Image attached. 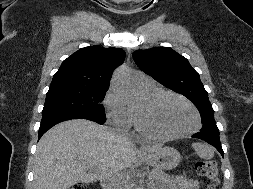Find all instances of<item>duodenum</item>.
Returning <instances> with one entry per match:
<instances>
[{
    "label": "duodenum",
    "mask_w": 253,
    "mask_h": 189,
    "mask_svg": "<svg viewBox=\"0 0 253 189\" xmlns=\"http://www.w3.org/2000/svg\"><path fill=\"white\" fill-rule=\"evenodd\" d=\"M102 186H103V189H111V185L109 181H104Z\"/></svg>",
    "instance_id": "1"
}]
</instances>
